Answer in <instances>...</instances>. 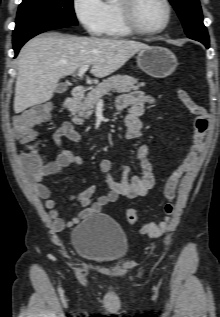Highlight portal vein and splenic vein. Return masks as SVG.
<instances>
[{
    "instance_id": "1",
    "label": "portal vein and splenic vein",
    "mask_w": 220,
    "mask_h": 317,
    "mask_svg": "<svg viewBox=\"0 0 220 317\" xmlns=\"http://www.w3.org/2000/svg\"><path fill=\"white\" fill-rule=\"evenodd\" d=\"M89 69V65H84L78 70V77H83L84 73Z\"/></svg>"
}]
</instances>
